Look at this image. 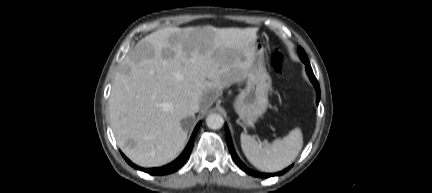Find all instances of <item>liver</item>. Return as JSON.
I'll use <instances>...</instances> for the list:
<instances>
[{
	"label": "liver",
	"instance_id": "obj_1",
	"mask_svg": "<svg viewBox=\"0 0 432 193\" xmlns=\"http://www.w3.org/2000/svg\"><path fill=\"white\" fill-rule=\"evenodd\" d=\"M257 28L167 27L141 39L116 72L111 127L123 153L142 167L172 161L185 147L181 121L205 113L224 88L247 78Z\"/></svg>",
	"mask_w": 432,
	"mask_h": 193
}]
</instances>
